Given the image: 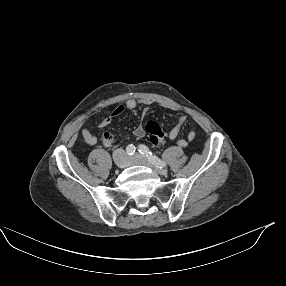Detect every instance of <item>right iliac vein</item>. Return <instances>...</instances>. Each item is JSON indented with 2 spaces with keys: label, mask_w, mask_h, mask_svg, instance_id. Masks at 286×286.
Wrapping results in <instances>:
<instances>
[{
  "label": "right iliac vein",
  "mask_w": 286,
  "mask_h": 286,
  "mask_svg": "<svg viewBox=\"0 0 286 286\" xmlns=\"http://www.w3.org/2000/svg\"><path fill=\"white\" fill-rule=\"evenodd\" d=\"M116 165L118 168H121V169L125 168L128 165L127 158L124 155H122L120 158L116 160Z\"/></svg>",
  "instance_id": "obj_1"
}]
</instances>
